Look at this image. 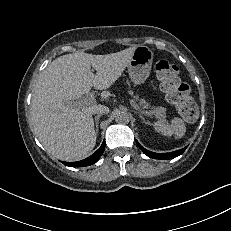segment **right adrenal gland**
<instances>
[{
    "instance_id": "right-adrenal-gland-1",
    "label": "right adrenal gland",
    "mask_w": 231,
    "mask_h": 231,
    "mask_svg": "<svg viewBox=\"0 0 231 231\" xmlns=\"http://www.w3.org/2000/svg\"><path fill=\"white\" fill-rule=\"evenodd\" d=\"M102 116V114H98L97 116H95V131L96 134H98L99 128H98V124H99V119Z\"/></svg>"
}]
</instances>
